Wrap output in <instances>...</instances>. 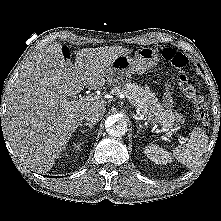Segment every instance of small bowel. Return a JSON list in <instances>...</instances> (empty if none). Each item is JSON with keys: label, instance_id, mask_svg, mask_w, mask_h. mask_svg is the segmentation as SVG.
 Listing matches in <instances>:
<instances>
[{"label": "small bowel", "instance_id": "small-bowel-1", "mask_svg": "<svg viewBox=\"0 0 221 221\" xmlns=\"http://www.w3.org/2000/svg\"><path fill=\"white\" fill-rule=\"evenodd\" d=\"M164 102L167 106L171 105L172 103V98L171 95L169 93H166L165 98H164Z\"/></svg>", "mask_w": 221, "mask_h": 221}]
</instances>
